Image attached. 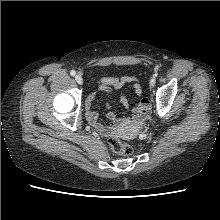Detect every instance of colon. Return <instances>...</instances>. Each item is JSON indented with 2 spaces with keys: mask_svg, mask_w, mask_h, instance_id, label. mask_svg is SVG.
Instances as JSON below:
<instances>
[{
  "mask_svg": "<svg viewBox=\"0 0 220 220\" xmlns=\"http://www.w3.org/2000/svg\"><path fill=\"white\" fill-rule=\"evenodd\" d=\"M142 105H143V115H144L149 109V101L147 99L144 100ZM108 142L111 149L119 155H130L132 153L131 146L122 142L120 139L116 137H111L108 140Z\"/></svg>",
  "mask_w": 220,
  "mask_h": 220,
  "instance_id": "5ec220e1",
  "label": "colon"
}]
</instances>
